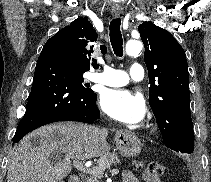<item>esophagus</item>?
<instances>
[{
  "mask_svg": "<svg viewBox=\"0 0 211 182\" xmlns=\"http://www.w3.org/2000/svg\"><path fill=\"white\" fill-rule=\"evenodd\" d=\"M121 14V9L120 8H116L112 10V15L113 17H119Z\"/></svg>",
  "mask_w": 211,
  "mask_h": 182,
  "instance_id": "34e87169",
  "label": "esophagus"
}]
</instances>
